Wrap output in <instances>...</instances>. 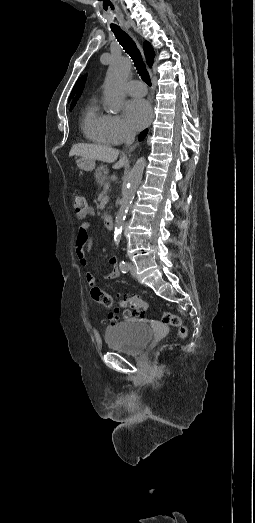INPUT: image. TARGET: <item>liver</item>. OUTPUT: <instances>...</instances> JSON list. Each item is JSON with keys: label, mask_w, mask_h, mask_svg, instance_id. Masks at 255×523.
<instances>
[{"label": "liver", "mask_w": 255, "mask_h": 523, "mask_svg": "<svg viewBox=\"0 0 255 523\" xmlns=\"http://www.w3.org/2000/svg\"><path fill=\"white\" fill-rule=\"evenodd\" d=\"M118 154V150L107 148V146H95V144H75L69 152V156H82L85 160H100V162H107V164L116 162ZM125 164H127L126 158H121L113 168L119 170Z\"/></svg>", "instance_id": "6515ba94"}]
</instances>
